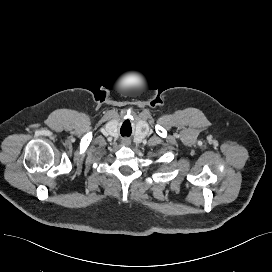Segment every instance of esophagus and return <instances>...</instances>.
<instances>
[{
  "label": "esophagus",
  "mask_w": 272,
  "mask_h": 272,
  "mask_svg": "<svg viewBox=\"0 0 272 272\" xmlns=\"http://www.w3.org/2000/svg\"><path fill=\"white\" fill-rule=\"evenodd\" d=\"M125 144L129 143V141H124Z\"/></svg>",
  "instance_id": "obj_1"
}]
</instances>
